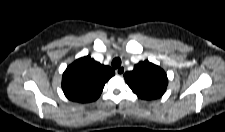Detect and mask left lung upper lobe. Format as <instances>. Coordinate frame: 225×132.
Listing matches in <instances>:
<instances>
[{"label": "left lung upper lobe", "instance_id": "5c2ea615", "mask_svg": "<svg viewBox=\"0 0 225 132\" xmlns=\"http://www.w3.org/2000/svg\"><path fill=\"white\" fill-rule=\"evenodd\" d=\"M124 78L139 98L147 100L160 98L168 84L166 73L148 60L136 64L132 71L124 74Z\"/></svg>", "mask_w": 225, "mask_h": 132}]
</instances>
